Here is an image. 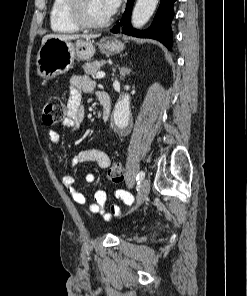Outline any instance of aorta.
Listing matches in <instances>:
<instances>
[{
    "label": "aorta",
    "mask_w": 247,
    "mask_h": 296,
    "mask_svg": "<svg viewBox=\"0 0 247 296\" xmlns=\"http://www.w3.org/2000/svg\"><path fill=\"white\" fill-rule=\"evenodd\" d=\"M157 4L158 0H137L132 13L133 27L140 28L145 25V23H147V21L153 15ZM113 120L115 126L120 130L125 129L128 126L130 120L129 95H122L116 103L113 111Z\"/></svg>",
    "instance_id": "obj_1"
}]
</instances>
